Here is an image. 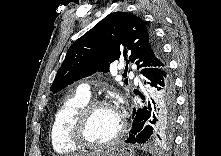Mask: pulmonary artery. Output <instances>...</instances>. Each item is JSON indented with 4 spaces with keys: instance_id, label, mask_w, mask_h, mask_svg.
<instances>
[{
    "instance_id": "pulmonary-artery-1",
    "label": "pulmonary artery",
    "mask_w": 221,
    "mask_h": 156,
    "mask_svg": "<svg viewBox=\"0 0 221 156\" xmlns=\"http://www.w3.org/2000/svg\"><path fill=\"white\" fill-rule=\"evenodd\" d=\"M79 91L88 96L91 95L90 87L87 84H82L79 88Z\"/></svg>"
}]
</instances>
